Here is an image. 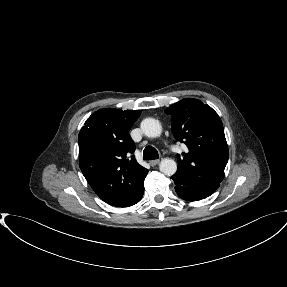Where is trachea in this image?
I'll return each instance as SVG.
<instances>
[{
  "mask_svg": "<svg viewBox=\"0 0 287 287\" xmlns=\"http://www.w3.org/2000/svg\"><path fill=\"white\" fill-rule=\"evenodd\" d=\"M144 160L158 159L159 155L157 150L152 146H147L143 151Z\"/></svg>",
  "mask_w": 287,
  "mask_h": 287,
  "instance_id": "obj_1",
  "label": "trachea"
}]
</instances>
